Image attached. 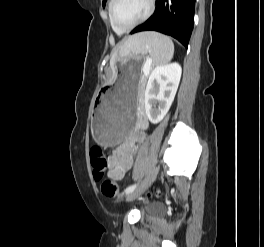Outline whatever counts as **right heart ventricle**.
Returning <instances> with one entry per match:
<instances>
[{
    "instance_id": "obj_1",
    "label": "right heart ventricle",
    "mask_w": 264,
    "mask_h": 247,
    "mask_svg": "<svg viewBox=\"0 0 264 247\" xmlns=\"http://www.w3.org/2000/svg\"><path fill=\"white\" fill-rule=\"evenodd\" d=\"M111 3H112V0L109 1V3H108V7H107V11H108V15H109V21H110V13H109V10H110ZM110 24H111V27L113 28L114 31H116L117 33H122V32H120V31H118V30L112 25L111 21H110Z\"/></svg>"
}]
</instances>
